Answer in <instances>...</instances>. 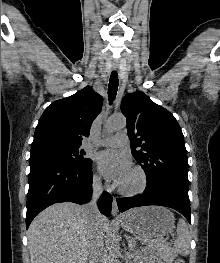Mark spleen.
<instances>
[{
	"mask_svg": "<svg viewBox=\"0 0 220 263\" xmlns=\"http://www.w3.org/2000/svg\"><path fill=\"white\" fill-rule=\"evenodd\" d=\"M190 233L188 225L183 219H179L177 226V238L174 241L172 251L187 256L190 251Z\"/></svg>",
	"mask_w": 220,
	"mask_h": 263,
	"instance_id": "1",
	"label": "spleen"
}]
</instances>
